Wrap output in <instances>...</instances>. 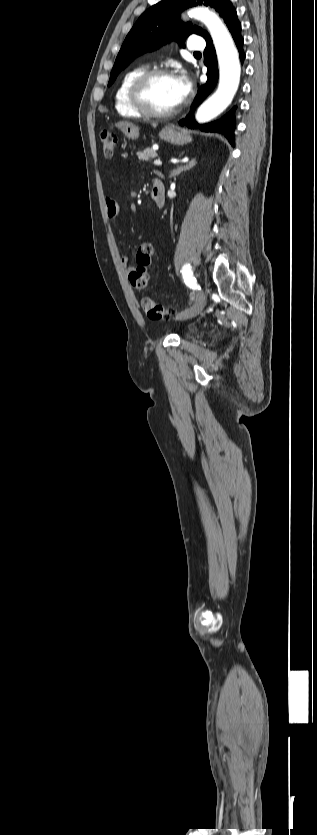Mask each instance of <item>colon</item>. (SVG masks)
Listing matches in <instances>:
<instances>
[{"instance_id": "1", "label": "colon", "mask_w": 317, "mask_h": 835, "mask_svg": "<svg viewBox=\"0 0 317 835\" xmlns=\"http://www.w3.org/2000/svg\"><path fill=\"white\" fill-rule=\"evenodd\" d=\"M102 150L105 156L113 155L117 138L114 133L110 131H103L100 135ZM154 257V251H150V258L147 260H140L138 265L129 273V282L132 288L137 292H142L147 288L149 281L148 267ZM141 307L147 317L151 320H160L167 317L172 309L161 304L155 303L151 298L144 297L141 300Z\"/></svg>"}]
</instances>
